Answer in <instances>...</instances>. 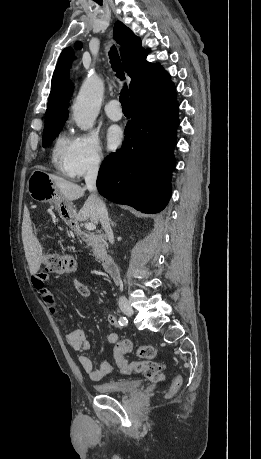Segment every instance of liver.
I'll return each mask as SVG.
<instances>
[{
	"instance_id": "obj_1",
	"label": "liver",
	"mask_w": 261,
	"mask_h": 459,
	"mask_svg": "<svg viewBox=\"0 0 261 459\" xmlns=\"http://www.w3.org/2000/svg\"><path fill=\"white\" fill-rule=\"evenodd\" d=\"M49 177L59 189L60 193L66 201L77 200L84 196L85 188H82L81 186L56 175L49 174ZM76 219L78 221L89 219L92 223L97 224L98 219L95 213L94 201L91 196H89L85 201L83 207L76 215ZM23 244L30 273L34 275L38 272L41 266L42 247L37 238L32 234L30 228L27 229L23 237Z\"/></svg>"
}]
</instances>
